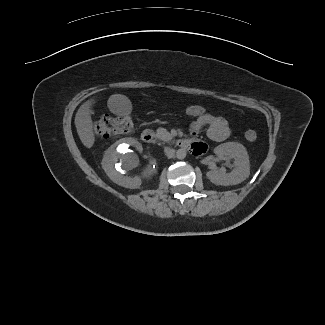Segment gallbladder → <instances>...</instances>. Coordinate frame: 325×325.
Instances as JSON below:
<instances>
[{
    "label": "gallbladder",
    "mask_w": 325,
    "mask_h": 325,
    "mask_svg": "<svg viewBox=\"0 0 325 325\" xmlns=\"http://www.w3.org/2000/svg\"><path fill=\"white\" fill-rule=\"evenodd\" d=\"M108 106L114 114L119 115V116L129 114L132 110L131 105L128 103H126V104L119 103L115 108H112L110 105H108Z\"/></svg>",
    "instance_id": "1"
}]
</instances>
